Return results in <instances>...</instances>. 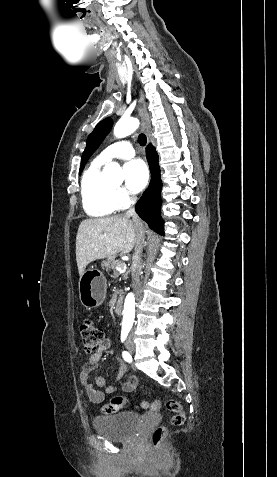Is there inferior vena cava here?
Segmentation results:
<instances>
[{"instance_id": "inferior-vena-cava-1", "label": "inferior vena cava", "mask_w": 277, "mask_h": 477, "mask_svg": "<svg viewBox=\"0 0 277 477\" xmlns=\"http://www.w3.org/2000/svg\"><path fill=\"white\" fill-rule=\"evenodd\" d=\"M136 201H137V197L133 196L131 198L132 206L129 208V210L126 212L125 215L127 217H132L136 225H140V220L134 208ZM143 237H144L143 231L140 230L138 234L136 247H135V252L132 258V288L137 300L141 295V284H140L139 276H140V272L142 268L141 251H142Z\"/></svg>"}]
</instances>
